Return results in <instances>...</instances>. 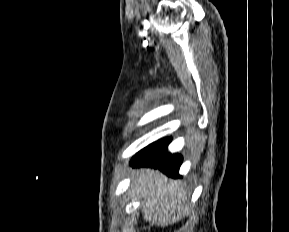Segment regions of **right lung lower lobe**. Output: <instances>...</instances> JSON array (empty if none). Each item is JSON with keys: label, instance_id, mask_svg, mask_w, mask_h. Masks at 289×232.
Returning <instances> with one entry per match:
<instances>
[{"label": "right lung lower lobe", "instance_id": "right-lung-lower-lobe-1", "mask_svg": "<svg viewBox=\"0 0 289 232\" xmlns=\"http://www.w3.org/2000/svg\"><path fill=\"white\" fill-rule=\"evenodd\" d=\"M171 138H165L150 144L138 152L131 160L132 166H146L160 169L166 175L178 178L182 156L167 152Z\"/></svg>", "mask_w": 289, "mask_h": 232}]
</instances>
